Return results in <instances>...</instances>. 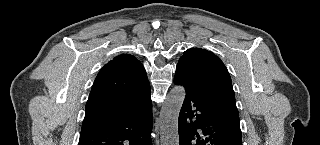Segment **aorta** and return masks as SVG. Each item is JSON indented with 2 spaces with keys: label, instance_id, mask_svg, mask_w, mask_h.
<instances>
[{
  "label": "aorta",
  "instance_id": "aorta-1",
  "mask_svg": "<svg viewBox=\"0 0 320 145\" xmlns=\"http://www.w3.org/2000/svg\"><path fill=\"white\" fill-rule=\"evenodd\" d=\"M184 99L182 86H175L168 94L160 114L161 145H179L178 118Z\"/></svg>",
  "mask_w": 320,
  "mask_h": 145
}]
</instances>
